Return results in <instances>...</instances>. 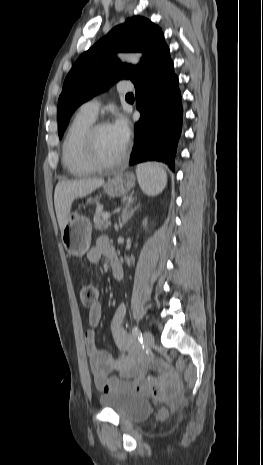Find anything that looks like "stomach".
<instances>
[{
	"mask_svg": "<svg viewBox=\"0 0 263 465\" xmlns=\"http://www.w3.org/2000/svg\"><path fill=\"white\" fill-rule=\"evenodd\" d=\"M135 184V177L128 172H119L112 176L104 186V192L110 197L127 194ZM89 202H98V197ZM62 243L69 255L82 257L91 244L92 227L90 220L78 213L69 214L62 229Z\"/></svg>",
	"mask_w": 263,
	"mask_h": 465,
	"instance_id": "0dacf381",
	"label": "stomach"
}]
</instances>
